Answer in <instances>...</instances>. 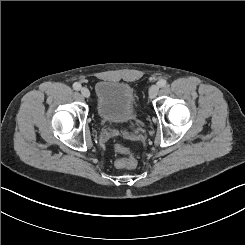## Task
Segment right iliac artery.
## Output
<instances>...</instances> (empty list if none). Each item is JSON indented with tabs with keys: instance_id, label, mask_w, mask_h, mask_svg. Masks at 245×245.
<instances>
[{
	"instance_id": "82829eb1",
	"label": "right iliac artery",
	"mask_w": 245,
	"mask_h": 245,
	"mask_svg": "<svg viewBox=\"0 0 245 245\" xmlns=\"http://www.w3.org/2000/svg\"><path fill=\"white\" fill-rule=\"evenodd\" d=\"M73 88H74L75 90H80V89H81V84L78 83V82H75V83L73 84Z\"/></svg>"
}]
</instances>
